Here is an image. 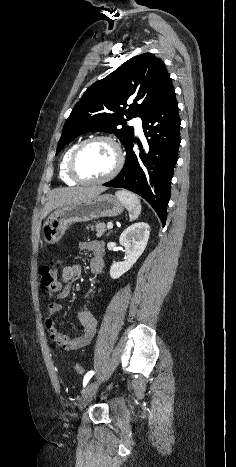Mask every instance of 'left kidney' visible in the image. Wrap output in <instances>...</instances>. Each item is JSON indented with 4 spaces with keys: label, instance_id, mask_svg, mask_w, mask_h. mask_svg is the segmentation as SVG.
<instances>
[{
    "label": "left kidney",
    "instance_id": "1",
    "mask_svg": "<svg viewBox=\"0 0 236 467\" xmlns=\"http://www.w3.org/2000/svg\"><path fill=\"white\" fill-rule=\"evenodd\" d=\"M150 227L145 222H138L129 226L121 234L119 243L124 247L126 259L123 262H115L110 268V276L117 279L126 273L136 263L144 252L148 243Z\"/></svg>",
    "mask_w": 236,
    "mask_h": 467
}]
</instances>
